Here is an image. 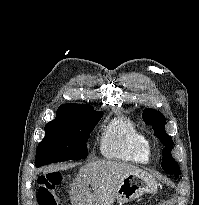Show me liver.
<instances>
[{
  "instance_id": "liver-1",
  "label": "liver",
  "mask_w": 199,
  "mask_h": 205,
  "mask_svg": "<svg viewBox=\"0 0 199 205\" xmlns=\"http://www.w3.org/2000/svg\"><path fill=\"white\" fill-rule=\"evenodd\" d=\"M144 172L123 162L97 160L82 166L70 185L73 205H113L120 182L128 174ZM91 185L93 192H91Z\"/></svg>"
}]
</instances>
